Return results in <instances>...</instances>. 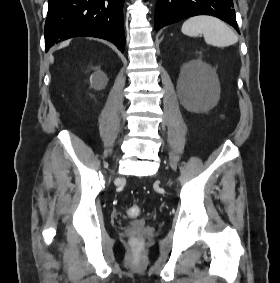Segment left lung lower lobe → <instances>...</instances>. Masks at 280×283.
<instances>
[{"label": "left lung lower lobe", "mask_w": 280, "mask_h": 283, "mask_svg": "<svg viewBox=\"0 0 280 283\" xmlns=\"http://www.w3.org/2000/svg\"><path fill=\"white\" fill-rule=\"evenodd\" d=\"M195 15H212L233 26L239 33L232 0H157L154 28Z\"/></svg>", "instance_id": "1"}]
</instances>
